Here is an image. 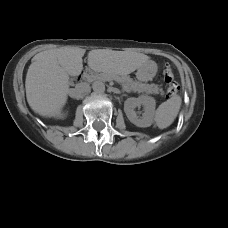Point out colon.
I'll return each instance as SVG.
<instances>
[{
	"instance_id": "obj_1",
	"label": "colon",
	"mask_w": 228,
	"mask_h": 228,
	"mask_svg": "<svg viewBox=\"0 0 228 228\" xmlns=\"http://www.w3.org/2000/svg\"><path fill=\"white\" fill-rule=\"evenodd\" d=\"M163 75H164L165 82L167 84H169V87L167 90L168 95L169 96L176 95L179 91V85L177 83L173 82V79H174L173 70H172V67L168 63H166L163 66Z\"/></svg>"
}]
</instances>
